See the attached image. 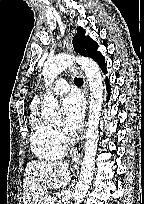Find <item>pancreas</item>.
Instances as JSON below:
<instances>
[{"label": "pancreas", "mask_w": 144, "mask_h": 204, "mask_svg": "<svg viewBox=\"0 0 144 204\" xmlns=\"http://www.w3.org/2000/svg\"><path fill=\"white\" fill-rule=\"evenodd\" d=\"M47 197H51V194L49 192H46L44 193L41 197H40V200H39V203L38 204H46V199ZM54 204V203H52Z\"/></svg>", "instance_id": "pancreas-1"}]
</instances>
